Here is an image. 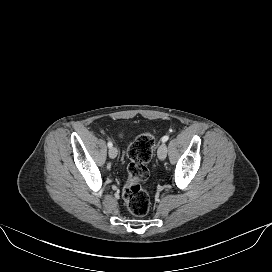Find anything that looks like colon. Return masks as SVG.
Masks as SVG:
<instances>
[{
    "mask_svg": "<svg viewBox=\"0 0 272 272\" xmlns=\"http://www.w3.org/2000/svg\"><path fill=\"white\" fill-rule=\"evenodd\" d=\"M155 146L154 138L149 133L138 136L128 147L130 160L128 177L123 187V198L128 210L135 216H145L150 209V199L141 186L149 177L147 163L151 160Z\"/></svg>",
    "mask_w": 272,
    "mask_h": 272,
    "instance_id": "5ec220e1",
    "label": "colon"
}]
</instances>
